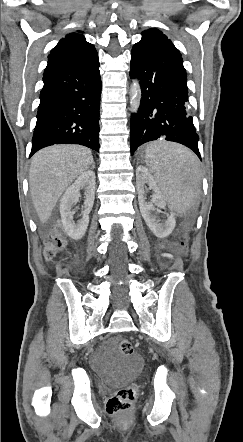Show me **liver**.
Here are the masks:
<instances>
[{"instance_id": "obj_1", "label": "liver", "mask_w": 243, "mask_h": 442, "mask_svg": "<svg viewBox=\"0 0 243 442\" xmlns=\"http://www.w3.org/2000/svg\"><path fill=\"white\" fill-rule=\"evenodd\" d=\"M93 163L91 150L80 145H54L31 161L29 187L41 223H46L67 187Z\"/></svg>"}]
</instances>
